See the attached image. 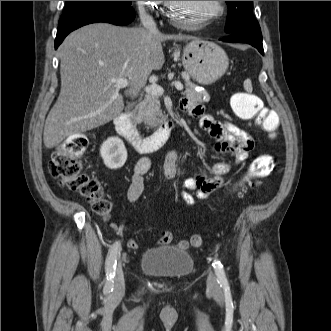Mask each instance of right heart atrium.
Listing matches in <instances>:
<instances>
[{
	"mask_svg": "<svg viewBox=\"0 0 331 331\" xmlns=\"http://www.w3.org/2000/svg\"><path fill=\"white\" fill-rule=\"evenodd\" d=\"M162 1H136L140 19H157Z\"/></svg>",
	"mask_w": 331,
	"mask_h": 331,
	"instance_id": "obj_1",
	"label": "right heart atrium"
}]
</instances>
